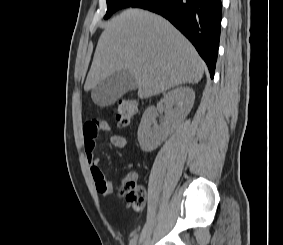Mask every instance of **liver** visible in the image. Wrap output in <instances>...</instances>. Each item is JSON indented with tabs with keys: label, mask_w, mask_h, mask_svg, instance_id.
<instances>
[{
	"label": "liver",
	"mask_w": 283,
	"mask_h": 245,
	"mask_svg": "<svg viewBox=\"0 0 283 245\" xmlns=\"http://www.w3.org/2000/svg\"><path fill=\"white\" fill-rule=\"evenodd\" d=\"M205 64L193 45L166 19L141 9H127L105 25L84 90L111 74L128 70L140 98L181 84L198 83Z\"/></svg>",
	"instance_id": "obj_1"
}]
</instances>
